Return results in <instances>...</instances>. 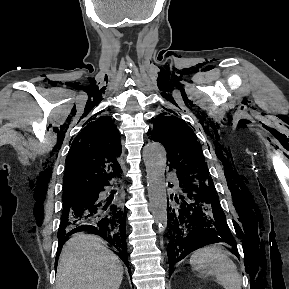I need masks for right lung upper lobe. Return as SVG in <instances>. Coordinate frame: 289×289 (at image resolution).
Segmentation results:
<instances>
[{"mask_svg": "<svg viewBox=\"0 0 289 289\" xmlns=\"http://www.w3.org/2000/svg\"><path fill=\"white\" fill-rule=\"evenodd\" d=\"M120 154V134L114 122L108 116L90 122L71 144L63 196L88 192L119 176L121 168L117 157Z\"/></svg>", "mask_w": 289, "mask_h": 289, "instance_id": "right-lung-upper-lobe-1", "label": "right lung upper lobe"}]
</instances>
